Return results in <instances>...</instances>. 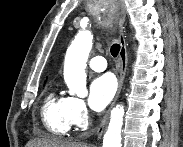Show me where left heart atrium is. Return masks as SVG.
I'll list each match as a JSON object with an SVG mask.
<instances>
[{
  "mask_svg": "<svg viewBox=\"0 0 183 147\" xmlns=\"http://www.w3.org/2000/svg\"><path fill=\"white\" fill-rule=\"evenodd\" d=\"M117 84L111 74L96 77L89 88V105L95 111L103 110L113 99Z\"/></svg>",
  "mask_w": 183,
  "mask_h": 147,
  "instance_id": "obj_1",
  "label": "left heart atrium"
}]
</instances>
